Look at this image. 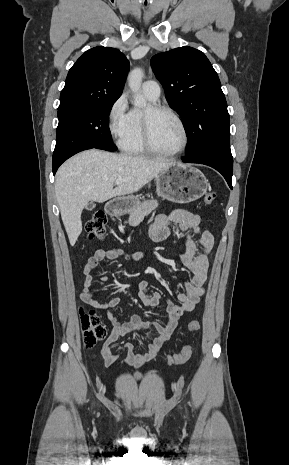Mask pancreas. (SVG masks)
<instances>
[{
    "mask_svg": "<svg viewBox=\"0 0 289 465\" xmlns=\"http://www.w3.org/2000/svg\"><path fill=\"white\" fill-rule=\"evenodd\" d=\"M158 207L157 200H146L139 204L130 212L128 223L130 226H137L145 216L149 215Z\"/></svg>",
    "mask_w": 289,
    "mask_h": 465,
    "instance_id": "obj_1",
    "label": "pancreas"
}]
</instances>
